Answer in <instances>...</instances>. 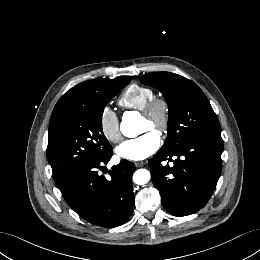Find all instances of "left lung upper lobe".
<instances>
[{
    "mask_svg": "<svg viewBox=\"0 0 260 260\" xmlns=\"http://www.w3.org/2000/svg\"><path fill=\"white\" fill-rule=\"evenodd\" d=\"M140 81L157 88L168 104V134L163 149H173L198 137L221 136L216 114L193 81L169 72H151Z\"/></svg>",
    "mask_w": 260,
    "mask_h": 260,
    "instance_id": "obj_1",
    "label": "left lung upper lobe"
}]
</instances>
